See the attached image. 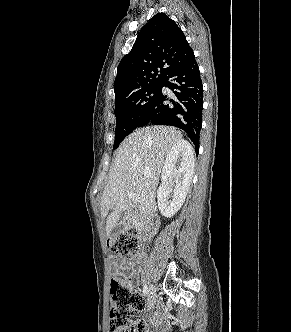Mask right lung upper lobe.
Listing matches in <instances>:
<instances>
[{
  "label": "right lung upper lobe",
  "instance_id": "cb5924a9",
  "mask_svg": "<svg viewBox=\"0 0 291 332\" xmlns=\"http://www.w3.org/2000/svg\"><path fill=\"white\" fill-rule=\"evenodd\" d=\"M193 58V50L178 25L165 13L156 14L142 27L130 53L118 66L115 100L150 84L163 82L169 73Z\"/></svg>",
  "mask_w": 291,
  "mask_h": 332
}]
</instances>
